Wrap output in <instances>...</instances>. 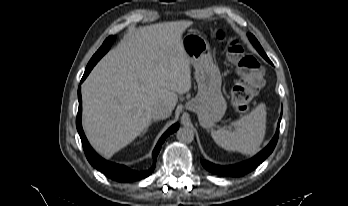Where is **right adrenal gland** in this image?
<instances>
[{
	"instance_id": "obj_1",
	"label": "right adrenal gland",
	"mask_w": 348,
	"mask_h": 206,
	"mask_svg": "<svg viewBox=\"0 0 348 206\" xmlns=\"http://www.w3.org/2000/svg\"><path fill=\"white\" fill-rule=\"evenodd\" d=\"M153 122H155V121L150 122V124H149V125L145 128V130L143 131V134H145V133L147 132L149 126H151V125L153 124Z\"/></svg>"
}]
</instances>
